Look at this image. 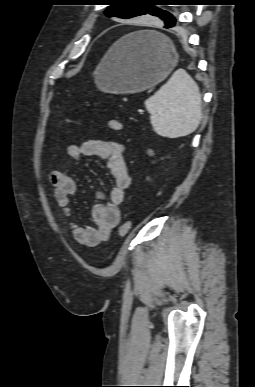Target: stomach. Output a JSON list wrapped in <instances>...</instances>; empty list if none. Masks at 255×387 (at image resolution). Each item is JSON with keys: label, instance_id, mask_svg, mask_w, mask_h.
I'll list each match as a JSON object with an SVG mask.
<instances>
[{"label": "stomach", "instance_id": "obj_1", "mask_svg": "<svg viewBox=\"0 0 255 387\" xmlns=\"http://www.w3.org/2000/svg\"><path fill=\"white\" fill-rule=\"evenodd\" d=\"M145 32L124 36L107 52L94 76L97 87L109 93L141 92L161 82L178 62L172 42L165 36Z\"/></svg>", "mask_w": 255, "mask_h": 387}]
</instances>
